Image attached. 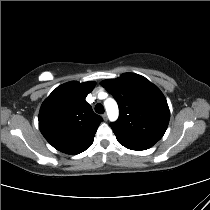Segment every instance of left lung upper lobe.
<instances>
[{"mask_svg":"<svg viewBox=\"0 0 210 210\" xmlns=\"http://www.w3.org/2000/svg\"><path fill=\"white\" fill-rule=\"evenodd\" d=\"M101 85L118 102L120 115L111 128L120 144L145 150L160 140L169 123L170 111L162 92L148 79L125 73Z\"/></svg>","mask_w":210,"mask_h":210,"instance_id":"5c2ea615","label":"left lung upper lobe"}]
</instances>
